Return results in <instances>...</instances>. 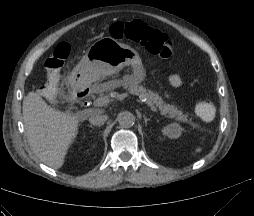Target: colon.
Listing matches in <instances>:
<instances>
[{
  "label": "colon",
  "mask_w": 254,
  "mask_h": 216,
  "mask_svg": "<svg viewBox=\"0 0 254 216\" xmlns=\"http://www.w3.org/2000/svg\"><path fill=\"white\" fill-rule=\"evenodd\" d=\"M110 34L115 39H126L139 44L149 53L161 58L172 55L169 53V48L174 47L172 41L158 29L151 28L142 22H116L110 27ZM70 52V44L61 42L49 55L45 62L46 82L40 89L41 94L56 95L61 69ZM195 112L200 119L210 121L216 114V105L211 100H204L196 105Z\"/></svg>",
  "instance_id": "5ec220e1"
}]
</instances>
